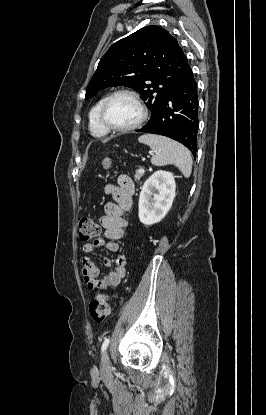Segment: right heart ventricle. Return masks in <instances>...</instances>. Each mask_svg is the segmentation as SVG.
<instances>
[{
	"mask_svg": "<svg viewBox=\"0 0 266 415\" xmlns=\"http://www.w3.org/2000/svg\"><path fill=\"white\" fill-rule=\"evenodd\" d=\"M105 98L106 96L100 97L91 107L89 111V115H88L90 133L94 137H98V138L104 137L108 134V131L102 126L100 122V118H99L101 106Z\"/></svg>",
	"mask_w": 266,
	"mask_h": 415,
	"instance_id": "1",
	"label": "right heart ventricle"
}]
</instances>
